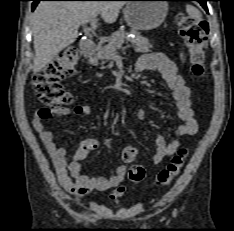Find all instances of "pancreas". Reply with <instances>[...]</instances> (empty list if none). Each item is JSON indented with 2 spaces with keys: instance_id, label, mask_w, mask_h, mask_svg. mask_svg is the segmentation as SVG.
I'll list each match as a JSON object with an SVG mask.
<instances>
[{
  "instance_id": "1",
  "label": "pancreas",
  "mask_w": 234,
  "mask_h": 231,
  "mask_svg": "<svg viewBox=\"0 0 234 231\" xmlns=\"http://www.w3.org/2000/svg\"><path fill=\"white\" fill-rule=\"evenodd\" d=\"M135 35V38L126 39L124 30H119L111 35L107 39V44L98 48L97 53L91 61V64L98 65L100 60L102 63L109 61L117 55L118 49H120L125 41L130 42L134 47L135 51L140 53H147L152 48V45L149 43V40L146 37H143L138 32H132Z\"/></svg>"
}]
</instances>
